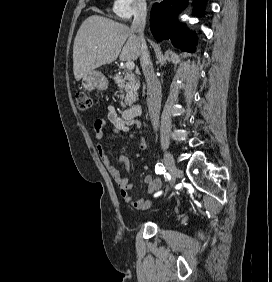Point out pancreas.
Wrapping results in <instances>:
<instances>
[{"instance_id":"pancreas-1","label":"pancreas","mask_w":272,"mask_h":282,"mask_svg":"<svg viewBox=\"0 0 272 282\" xmlns=\"http://www.w3.org/2000/svg\"><path fill=\"white\" fill-rule=\"evenodd\" d=\"M113 79L121 89V105H131L137 96V90L139 88L137 77L133 73L127 72L124 76L116 74Z\"/></svg>"}]
</instances>
